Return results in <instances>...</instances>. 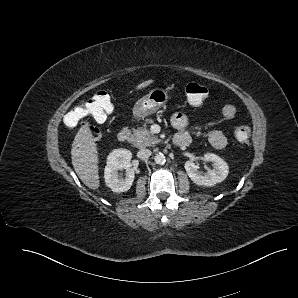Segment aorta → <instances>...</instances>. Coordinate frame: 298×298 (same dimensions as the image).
Returning a JSON list of instances; mask_svg holds the SVG:
<instances>
[{"mask_svg":"<svg viewBox=\"0 0 298 298\" xmlns=\"http://www.w3.org/2000/svg\"><path fill=\"white\" fill-rule=\"evenodd\" d=\"M155 163L156 164H164L165 163V156L162 153H158L154 157Z\"/></svg>","mask_w":298,"mask_h":298,"instance_id":"1","label":"aorta"}]
</instances>
